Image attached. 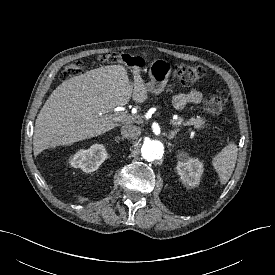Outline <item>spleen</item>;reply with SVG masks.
I'll return each instance as SVG.
<instances>
[{"instance_id": "spleen-1", "label": "spleen", "mask_w": 275, "mask_h": 275, "mask_svg": "<svg viewBox=\"0 0 275 275\" xmlns=\"http://www.w3.org/2000/svg\"><path fill=\"white\" fill-rule=\"evenodd\" d=\"M237 154V145L234 142H230L215 157H213L212 165L218 173L222 184L227 183L230 179L235 168Z\"/></svg>"}]
</instances>
